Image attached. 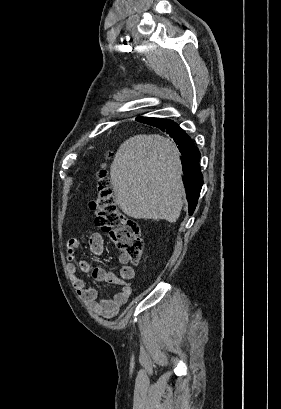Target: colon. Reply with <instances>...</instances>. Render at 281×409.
<instances>
[{"label": "colon", "instance_id": "5ec220e1", "mask_svg": "<svg viewBox=\"0 0 281 409\" xmlns=\"http://www.w3.org/2000/svg\"><path fill=\"white\" fill-rule=\"evenodd\" d=\"M99 173L97 196L92 202L95 211V224L113 238L122 260L138 263L143 251L140 226L117 207L112 181Z\"/></svg>", "mask_w": 281, "mask_h": 409}]
</instances>
